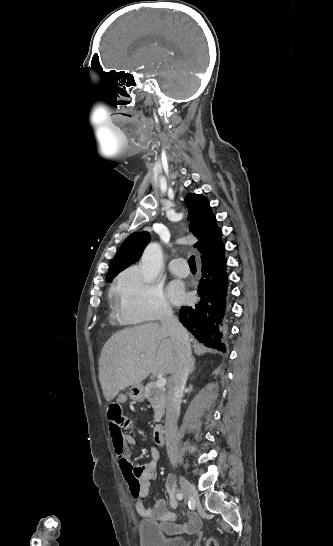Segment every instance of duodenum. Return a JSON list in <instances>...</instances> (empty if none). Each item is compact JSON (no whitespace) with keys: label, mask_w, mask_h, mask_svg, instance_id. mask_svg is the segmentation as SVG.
I'll list each match as a JSON object with an SVG mask.
<instances>
[{"label":"duodenum","mask_w":333,"mask_h":546,"mask_svg":"<svg viewBox=\"0 0 333 546\" xmlns=\"http://www.w3.org/2000/svg\"><path fill=\"white\" fill-rule=\"evenodd\" d=\"M153 438L157 445L162 446L165 444V431L162 425H158L154 428Z\"/></svg>","instance_id":"duodenum-1"}]
</instances>
